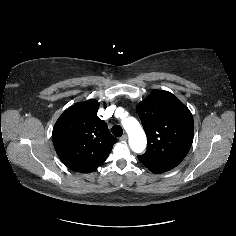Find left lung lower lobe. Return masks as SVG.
I'll use <instances>...</instances> for the list:
<instances>
[{
	"instance_id": "left-lung-lower-lobe-1",
	"label": "left lung lower lobe",
	"mask_w": 236,
	"mask_h": 236,
	"mask_svg": "<svg viewBox=\"0 0 236 236\" xmlns=\"http://www.w3.org/2000/svg\"><path fill=\"white\" fill-rule=\"evenodd\" d=\"M152 172H154V171H152ZM154 173H162V172H154Z\"/></svg>"
}]
</instances>
